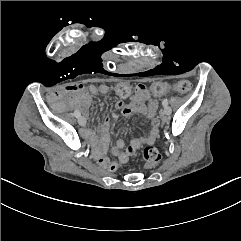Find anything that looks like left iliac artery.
<instances>
[{"label":"left iliac artery","mask_w":241,"mask_h":241,"mask_svg":"<svg viewBox=\"0 0 241 241\" xmlns=\"http://www.w3.org/2000/svg\"><path fill=\"white\" fill-rule=\"evenodd\" d=\"M162 105L165 107V106H167L168 105V100L167 99H164L163 101H162Z\"/></svg>","instance_id":"44dca946"}]
</instances>
